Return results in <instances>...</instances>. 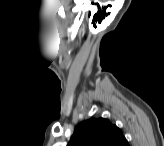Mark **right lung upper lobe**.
Here are the masks:
<instances>
[{"instance_id": "1", "label": "right lung upper lobe", "mask_w": 164, "mask_h": 146, "mask_svg": "<svg viewBox=\"0 0 164 146\" xmlns=\"http://www.w3.org/2000/svg\"><path fill=\"white\" fill-rule=\"evenodd\" d=\"M121 130L104 118H90L77 125L69 146H127Z\"/></svg>"}]
</instances>
